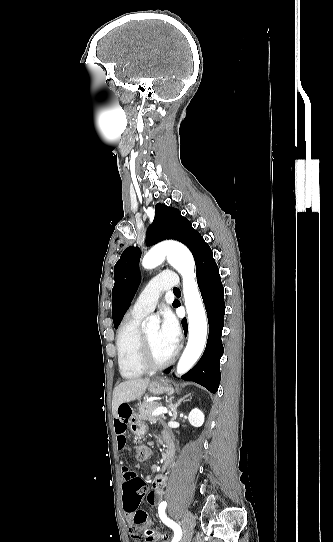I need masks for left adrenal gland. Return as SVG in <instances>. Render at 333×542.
<instances>
[{
  "instance_id": "a2214340",
  "label": "left adrenal gland",
  "mask_w": 333,
  "mask_h": 542,
  "mask_svg": "<svg viewBox=\"0 0 333 542\" xmlns=\"http://www.w3.org/2000/svg\"><path fill=\"white\" fill-rule=\"evenodd\" d=\"M188 396H191V394H188ZM188 396H184V398H180V400H178V402H176V404H172V402L174 400V396H170L168 408H169L170 412H172V414H173L171 420H177V418H178L177 408H178V406H180L181 402H184V400H186V398H188Z\"/></svg>"
}]
</instances>
